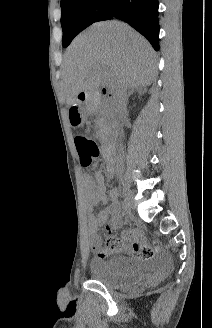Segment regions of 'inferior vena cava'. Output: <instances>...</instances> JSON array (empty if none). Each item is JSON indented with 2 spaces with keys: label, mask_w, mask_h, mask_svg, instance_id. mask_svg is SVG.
Masks as SVG:
<instances>
[{
  "label": "inferior vena cava",
  "mask_w": 212,
  "mask_h": 328,
  "mask_svg": "<svg viewBox=\"0 0 212 328\" xmlns=\"http://www.w3.org/2000/svg\"><path fill=\"white\" fill-rule=\"evenodd\" d=\"M126 101H127V93L126 88L121 86L118 87L113 94V111L114 116L123 124L125 115H126ZM118 161L122 162V156H118Z\"/></svg>",
  "instance_id": "obj_1"
}]
</instances>
